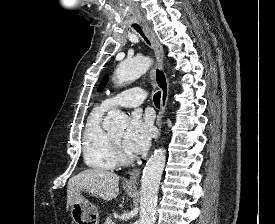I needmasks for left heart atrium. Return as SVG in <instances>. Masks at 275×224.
<instances>
[{
    "mask_svg": "<svg viewBox=\"0 0 275 224\" xmlns=\"http://www.w3.org/2000/svg\"><path fill=\"white\" fill-rule=\"evenodd\" d=\"M152 136L153 126L151 122L135 115L131 118L122 136V147L128 153L140 154L148 148Z\"/></svg>",
    "mask_w": 275,
    "mask_h": 224,
    "instance_id": "left-heart-atrium-1",
    "label": "left heart atrium"
}]
</instances>
